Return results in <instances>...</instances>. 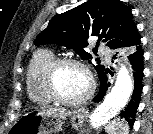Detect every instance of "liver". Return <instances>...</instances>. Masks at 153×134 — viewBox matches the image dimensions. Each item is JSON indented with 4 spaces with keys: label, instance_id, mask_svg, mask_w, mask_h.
<instances>
[{
    "label": "liver",
    "instance_id": "1",
    "mask_svg": "<svg viewBox=\"0 0 153 134\" xmlns=\"http://www.w3.org/2000/svg\"><path fill=\"white\" fill-rule=\"evenodd\" d=\"M47 110H49L52 113H56V112H61V110H63V109L49 107V108H47Z\"/></svg>",
    "mask_w": 153,
    "mask_h": 134
}]
</instances>
